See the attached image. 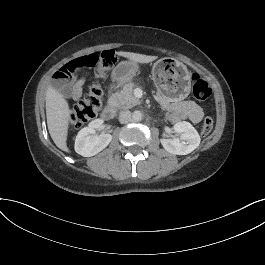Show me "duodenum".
I'll return each instance as SVG.
<instances>
[{
  "label": "duodenum",
  "instance_id": "1",
  "mask_svg": "<svg viewBox=\"0 0 265 265\" xmlns=\"http://www.w3.org/2000/svg\"><path fill=\"white\" fill-rule=\"evenodd\" d=\"M116 114V106L112 100H109L102 111L103 119H112Z\"/></svg>",
  "mask_w": 265,
  "mask_h": 265
}]
</instances>
